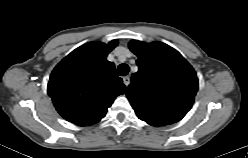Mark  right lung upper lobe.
<instances>
[{"mask_svg": "<svg viewBox=\"0 0 248 158\" xmlns=\"http://www.w3.org/2000/svg\"><path fill=\"white\" fill-rule=\"evenodd\" d=\"M118 42L86 43L66 56L52 71L48 94L59 114L79 126L99 122L114 99L126 92L115 66L106 57Z\"/></svg>", "mask_w": 248, "mask_h": 158, "instance_id": "cb5924a9", "label": "right lung upper lobe"}]
</instances>
